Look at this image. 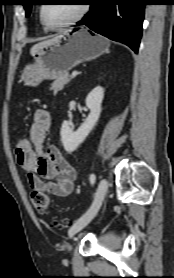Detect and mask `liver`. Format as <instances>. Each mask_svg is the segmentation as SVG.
<instances>
[{"label":"liver","instance_id":"obj_1","mask_svg":"<svg viewBox=\"0 0 174 278\" xmlns=\"http://www.w3.org/2000/svg\"><path fill=\"white\" fill-rule=\"evenodd\" d=\"M54 39H55V38L50 39V40H46V41H42V42H40V43L35 44V45L31 48L30 53H31V54H34V53L36 52L37 49L41 48V47L44 46V45H47V44L51 43Z\"/></svg>","mask_w":174,"mask_h":278}]
</instances>
